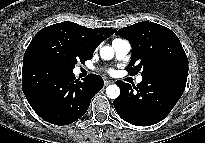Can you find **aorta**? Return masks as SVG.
Listing matches in <instances>:
<instances>
[{
	"label": "aorta",
	"instance_id": "762f6f07",
	"mask_svg": "<svg viewBox=\"0 0 205 143\" xmlns=\"http://www.w3.org/2000/svg\"><path fill=\"white\" fill-rule=\"evenodd\" d=\"M100 56L104 60H111L114 57V49L110 46H103L100 49ZM107 97L110 99H116L120 95V89L117 85H109L106 88Z\"/></svg>",
	"mask_w": 205,
	"mask_h": 143
}]
</instances>
